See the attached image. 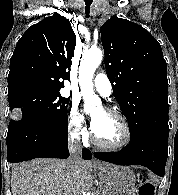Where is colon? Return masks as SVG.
I'll return each instance as SVG.
<instances>
[{
	"label": "colon",
	"instance_id": "obj_1",
	"mask_svg": "<svg viewBox=\"0 0 178 195\" xmlns=\"http://www.w3.org/2000/svg\"><path fill=\"white\" fill-rule=\"evenodd\" d=\"M154 187L153 185L146 179L141 180L138 195H153Z\"/></svg>",
	"mask_w": 178,
	"mask_h": 195
}]
</instances>
